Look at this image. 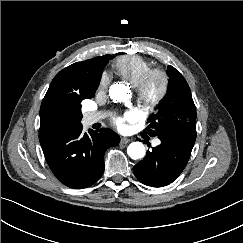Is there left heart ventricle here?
<instances>
[{"instance_id": "obj_1", "label": "left heart ventricle", "mask_w": 243, "mask_h": 243, "mask_svg": "<svg viewBox=\"0 0 243 243\" xmlns=\"http://www.w3.org/2000/svg\"><path fill=\"white\" fill-rule=\"evenodd\" d=\"M159 85H160L159 79H155L152 86L153 91H156L159 88Z\"/></svg>"}]
</instances>
